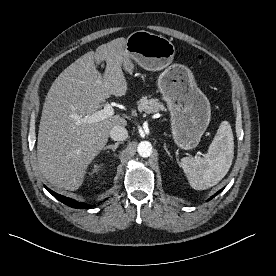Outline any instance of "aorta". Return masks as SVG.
I'll return each instance as SVG.
<instances>
[{"label":"aorta","mask_w":276,"mask_h":276,"mask_svg":"<svg viewBox=\"0 0 276 276\" xmlns=\"http://www.w3.org/2000/svg\"><path fill=\"white\" fill-rule=\"evenodd\" d=\"M137 152L141 157L147 158L152 154V145L148 141H142L137 147Z\"/></svg>","instance_id":"obj_1"}]
</instances>
